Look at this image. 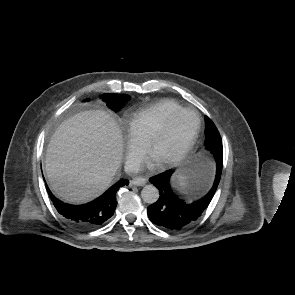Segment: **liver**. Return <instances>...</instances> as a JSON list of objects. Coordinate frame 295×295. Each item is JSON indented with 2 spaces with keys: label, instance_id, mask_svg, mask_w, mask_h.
<instances>
[{
  "label": "liver",
  "instance_id": "6515ba94",
  "mask_svg": "<svg viewBox=\"0 0 295 295\" xmlns=\"http://www.w3.org/2000/svg\"><path fill=\"white\" fill-rule=\"evenodd\" d=\"M122 155V135L115 120L105 111H84L65 120L54 132L45 170L60 199L83 204L109 188Z\"/></svg>",
  "mask_w": 295,
  "mask_h": 295
}]
</instances>
